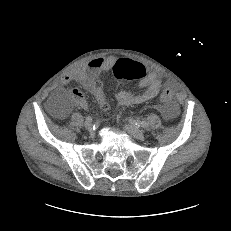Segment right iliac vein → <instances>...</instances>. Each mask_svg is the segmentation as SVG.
Instances as JSON below:
<instances>
[{"label":"right iliac vein","instance_id":"obj_1","mask_svg":"<svg viewBox=\"0 0 231 231\" xmlns=\"http://www.w3.org/2000/svg\"><path fill=\"white\" fill-rule=\"evenodd\" d=\"M85 128H86L87 130H89V131H92L93 126H92L91 122H85Z\"/></svg>","mask_w":231,"mask_h":231}]
</instances>
